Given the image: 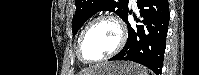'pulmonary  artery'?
Here are the masks:
<instances>
[{"mask_svg":"<svg viewBox=\"0 0 199 75\" xmlns=\"http://www.w3.org/2000/svg\"><path fill=\"white\" fill-rule=\"evenodd\" d=\"M131 2H132V4H135L136 1L132 0Z\"/></svg>","mask_w":199,"mask_h":75,"instance_id":"pulmonary-artery-1","label":"pulmonary artery"}]
</instances>
